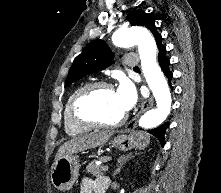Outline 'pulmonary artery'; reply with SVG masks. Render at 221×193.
Listing matches in <instances>:
<instances>
[{"label": "pulmonary artery", "instance_id": "pulmonary-artery-1", "mask_svg": "<svg viewBox=\"0 0 221 193\" xmlns=\"http://www.w3.org/2000/svg\"><path fill=\"white\" fill-rule=\"evenodd\" d=\"M139 63V57L138 55H132L130 56L125 64L128 66V67H133V66H136L137 64Z\"/></svg>", "mask_w": 221, "mask_h": 193}]
</instances>
